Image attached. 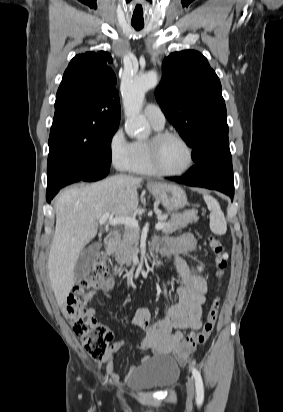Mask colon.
Here are the masks:
<instances>
[{
  "label": "colon",
  "instance_id": "obj_1",
  "mask_svg": "<svg viewBox=\"0 0 283 412\" xmlns=\"http://www.w3.org/2000/svg\"><path fill=\"white\" fill-rule=\"evenodd\" d=\"M208 246L214 256L213 294L208 313L200 330L191 333L181 342L178 353L182 354L204 344L212 333L220 308L218 289L227 265V254L218 238L209 235ZM109 265L106 259L99 255L86 275L83 282L67 299L66 312L74 335L81 341L89 355L95 359H103L108 352L113 333L97 321L88 308L92 291L107 277Z\"/></svg>",
  "mask_w": 283,
  "mask_h": 412
}]
</instances>
